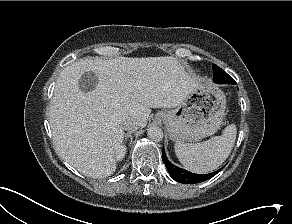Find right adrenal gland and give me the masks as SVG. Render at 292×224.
Instances as JSON below:
<instances>
[{"label": "right adrenal gland", "instance_id": "right-adrenal-gland-1", "mask_svg": "<svg viewBox=\"0 0 292 224\" xmlns=\"http://www.w3.org/2000/svg\"><path fill=\"white\" fill-rule=\"evenodd\" d=\"M128 138H130V145H131L133 141L132 132H128L125 134V141H127Z\"/></svg>", "mask_w": 292, "mask_h": 224}]
</instances>
